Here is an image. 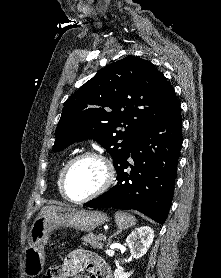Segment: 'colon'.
<instances>
[{
	"instance_id": "1",
	"label": "colon",
	"mask_w": 221,
	"mask_h": 278,
	"mask_svg": "<svg viewBox=\"0 0 221 278\" xmlns=\"http://www.w3.org/2000/svg\"><path fill=\"white\" fill-rule=\"evenodd\" d=\"M48 275H50L51 278H58V276L60 275V267L59 266L52 267L48 272Z\"/></svg>"
}]
</instances>
